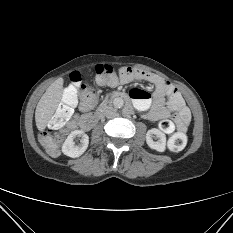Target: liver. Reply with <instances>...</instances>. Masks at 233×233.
<instances>
[{
	"instance_id": "liver-1",
	"label": "liver",
	"mask_w": 233,
	"mask_h": 233,
	"mask_svg": "<svg viewBox=\"0 0 233 233\" xmlns=\"http://www.w3.org/2000/svg\"><path fill=\"white\" fill-rule=\"evenodd\" d=\"M63 78L54 81L42 95L35 110V122L39 131H44L55 113L63 93Z\"/></svg>"
}]
</instances>
